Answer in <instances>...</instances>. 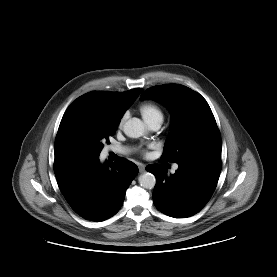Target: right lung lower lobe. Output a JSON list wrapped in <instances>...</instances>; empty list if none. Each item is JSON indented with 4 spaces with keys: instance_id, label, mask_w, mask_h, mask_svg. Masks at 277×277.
Wrapping results in <instances>:
<instances>
[{
    "instance_id": "right-lung-lower-lobe-1",
    "label": "right lung lower lobe",
    "mask_w": 277,
    "mask_h": 277,
    "mask_svg": "<svg viewBox=\"0 0 277 277\" xmlns=\"http://www.w3.org/2000/svg\"><path fill=\"white\" fill-rule=\"evenodd\" d=\"M58 186L71 208L91 221H104L121 208L138 167L120 158L113 165L97 157H68L54 162Z\"/></svg>"
}]
</instances>
